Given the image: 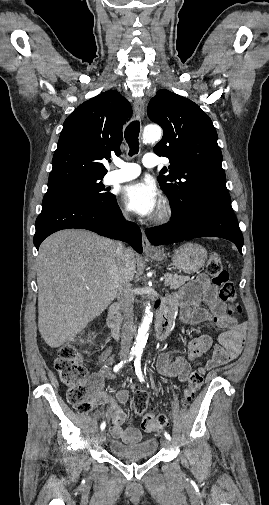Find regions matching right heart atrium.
Masks as SVG:
<instances>
[{
  "label": "right heart atrium",
  "mask_w": 269,
  "mask_h": 505,
  "mask_svg": "<svg viewBox=\"0 0 269 505\" xmlns=\"http://www.w3.org/2000/svg\"><path fill=\"white\" fill-rule=\"evenodd\" d=\"M121 214L124 218H127L128 217V212L125 210V209H122L121 210Z\"/></svg>",
  "instance_id": "obj_1"
}]
</instances>
